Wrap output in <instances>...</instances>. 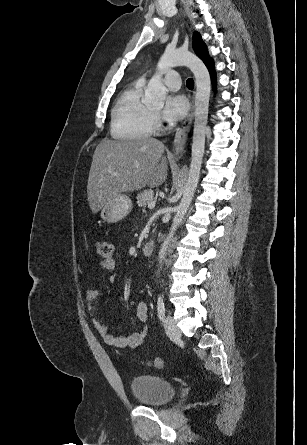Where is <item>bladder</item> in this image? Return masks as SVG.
<instances>
[{
    "label": "bladder",
    "mask_w": 307,
    "mask_h": 445,
    "mask_svg": "<svg viewBox=\"0 0 307 445\" xmlns=\"http://www.w3.org/2000/svg\"><path fill=\"white\" fill-rule=\"evenodd\" d=\"M130 388L135 400L147 407L163 406L175 394V387L171 382L150 374L133 378Z\"/></svg>",
    "instance_id": "31cf9c89"
}]
</instances>
